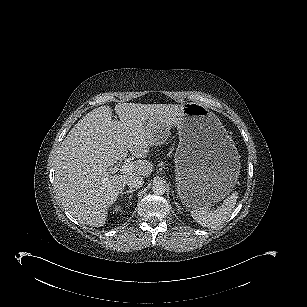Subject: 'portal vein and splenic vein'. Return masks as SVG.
I'll list each match as a JSON object with an SVG mask.
<instances>
[{
    "instance_id": "1",
    "label": "portal vein and splenic vein",
    "mask_w": 307,
    "mask_h": 307,
    "mask_svg": "<svg viewBox=\"0 0 307 307\" xmlns=\"http://www.w3.org/2000/svg\"><path fill=\"white\" fill-rule=\"evenodd\" d=\"M134 169V165H133V163L132 162H130V161H127V162H125L122 166H121V171L122 172H130V171H132Z\"/></svg>"
}]
</instances>
